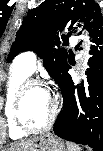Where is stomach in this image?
Returning <instances> with one entry per match:
<instances>
[{
	"label": "stomach",
	"mask_w": 103,
	"mask_h": 151,
	"mask_svg": "<svg viewBox=\"0 0 103 151\" xmlns=\"http://www.w3.org/2000/svg\"><path fill=\"white\" fill-rule=\"evenodd\" d=\"M28 151H66V148L61 140L52 134H45L38 137Z\"/></svg>",
	"instance_id": "obj_1"
}]
</instances>
